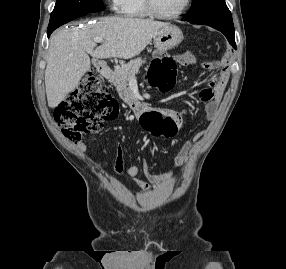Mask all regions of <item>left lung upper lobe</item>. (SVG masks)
Listing matches in <instances>:
<instances>
[{
	"instance_id": "left-lung-upper-lobe-1",
	"label": "left lung upper lobe",
	"mask_w": 286,
	"mask_h": 269,
	"mask_svg": "<svg viewBox=\"0 0 286 269\" xmlns=\"http://www.w3.org/2000/svg\"><path fill=\"white\" fill-rule=\"evenodd\" d=\"M189 15L182 18L192 24L217 25L234 29L225 0H192Z\"/></svg>"
}]
</instances>
